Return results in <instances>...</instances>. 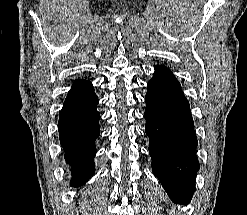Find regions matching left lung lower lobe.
Segmentation results:
<instances>
[{
    "label": "left lung lower lobe",
    "mask_w": 247,
    "mask_h": 215,
    "mask_svg": "<svg viewBox=\"0 0 247 215\" xmlns=\"http://www.w3.org/2000/svg\"><path fill=\"white\" fill-rule=\"evenodd\" d=\"M152 171L173 202L188 203L200 168L190 105L169 69L156 66L145 97Z\"/></svg>",
    "instance_id": "obj_1"
}]
</instances>
